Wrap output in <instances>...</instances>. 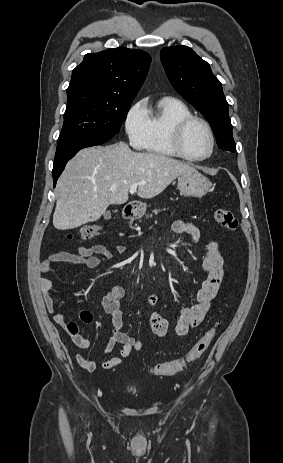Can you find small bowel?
I'll return each mask as SVG.
<instances>
[{
    "instance_id": "small-bowel-1",
    "label": "small bowel",
    "mask_w": 283,
    "mask_h": 463,
    "mask_svg": "<svg viewBox=\"0 0 283 463\" xmlns=\"http://www.w3.org/2000/svg\"><path fill=\"white\" fill-rule=\"evenodd\" d=\"M172 230L176 234L188 235L193 244H197L200 241L201 232L192 223L180 220L175 221L172 224ZM116 250L121 254L125 253V247L122 245H118ZM111 257V252L104 245L94 244L90 247H77V253L67 251L54 252L41 263L40 274L42 277L39 279L38 285L42 302L57 323L65 325L64 315L57 309L53 298L49 294L52 282L44 276L53 272L57 263H69L82 266L87 270H93L105 261L111 259ZM202 271L206 279L196 294L195 303L178 312L177 320L173 327H171L169 322L159 314H150L148 324L151 332L155 336L164 338L170 332H173L177 336L186 335L191 328L199 325L206 316L213 299L220 289L224 277V259L215 241H209L206 245V254L202 261ZM125 295L126 291L123 287L115 286L100 301V306L111 318V335L105 353H111L118 344L122 345L119 356L110 357L102 363V368L104 370H109L122 364L124 359L127 358L133 350L140 351L143 349V343L141 341L123 331L122 301ZM157 301L158 296L156 294H151L147 298V303L151 307L154 306ZM71 338L81 350L90 347V342L80 335L71 334ZM76 358L80 366L86 371L93 372L96 369L94 360L83 354H78Z\"/></svg>"
}]
</instances>
